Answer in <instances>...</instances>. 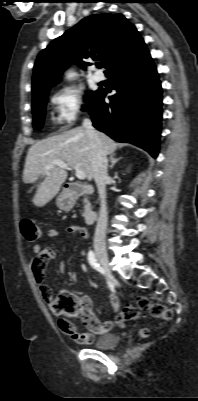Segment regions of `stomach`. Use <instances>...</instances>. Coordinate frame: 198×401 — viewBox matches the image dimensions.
<instances>
[{
    "label": "stomach",
    "instance_id": "obj_1",
    "mask_svg": "<svg viewBox=\"0 0 198 401\" xmlns=\"http://www.w3.org/2000/svg\"><path fill=\"white\" fill-rule=\"evenodd\" d=\"M56 204L61 210L68 211L73 207L74 200L70 196L62 192L56 198Z\"/></svg>",
    "mask_w": 198,
    "mask_h": 401
}]
</instances>
